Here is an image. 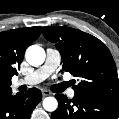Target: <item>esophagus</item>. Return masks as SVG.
I'll list each match as a JSON object with an SVG mask.
<instances>
[{"label":"esophagus","instance_id":"1","mask_svg":"<svg viewBox=\"0 0 119 119\" xmlns=\"http://www.w3.org/2000/svg\"><path fill=\"white\" fill-rule=\"evenodd\" d=\"M51 94H52V93H51L49 90H45V89L42 90V95H43L44 97L49 96V95H51Z\"/></svg>","mask_w":119,"mask_h":119}]
</instances>
